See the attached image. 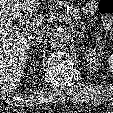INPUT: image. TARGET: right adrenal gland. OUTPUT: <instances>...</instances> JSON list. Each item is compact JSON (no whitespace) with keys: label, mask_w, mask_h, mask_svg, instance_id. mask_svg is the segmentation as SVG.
Instances as JSON below:
<instances>
[{"label":"right adrenal gland","mask_w":113,"mask_h":113,"mask_svg":"<svg viewBox=\"0 0 113 113\" xmlns=\"http://www.w3.org/2000/svg\"><path fill=\"white\" fill-rule=\"evenodd\" d=\"M33 40L31 41V45L36 46L38 42H40L42 37H32Z\"/></svg>","instance_id":"2a0ac1e0"}]
</instances>
